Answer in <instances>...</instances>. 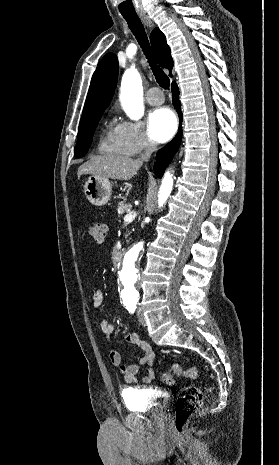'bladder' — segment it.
<instances>
[{"mask_svg":"<svg viewBox=\"0 0 279 465\" xmlns=\"http://www.w3.org/2000/svg\"><path fill=\"white\" fill-rule=\"evenodd\" d=\"M123 403L130 412H154L162 414L167 406L169 396L143 387H126L121 392Z\"/></svg>","mask_w":279,"mask_h":465,"instance_id":"obj_1","label":"bladder"}]
</instances>
